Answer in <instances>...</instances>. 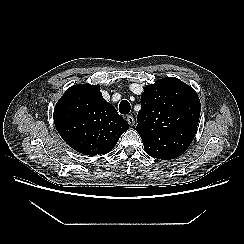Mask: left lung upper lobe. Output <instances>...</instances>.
<instances>
[{
	"label": "left lung upper lobe",
	"mask_w": 244,
	"mask_h": 244,
	"mask_svg": "<svg viewBox=\"0 0 244 244\" xmlns=\"http://www.w3.org/2000/svg\"><path fill=\"white\" fill-rule=\"evenodd\" d=\"M201 104L195 90L175 77L144 87L136 131L145 152L153 158H177L191 144Z\"/></svg>",
	"instance_id": "obj_1"
}]
</instances>
